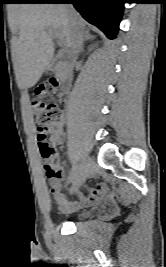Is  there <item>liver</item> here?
I'll return each mask as SVG.
<instances>
[{"label": "liver", "mask_w": 166, "mask_h": 267, "mask_svg": "<svg viewBox=\"0 0 166 267\" xmlns=\"http://www.w3.org/2000/svg\"><path fill=\"white\" fill-rule=\"evenodd\" d=\"M71 22H76L82 30L85 28L84 19L71 5L22 4L18 7L19 39L13 61L20 88L33 87L53 59L55 48L47 29L57 30L70 47Z\"/></svg>", "instance_id": "obj_1"}]
</instances>
